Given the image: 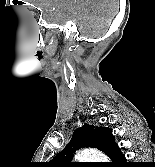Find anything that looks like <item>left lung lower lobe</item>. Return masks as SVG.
<instances>
[{"label": "left lung lower lobe", "mask_w": 155, "mask_h": 167, "mask_svg": "<svg viewBox=\"0 0 155 167\" xmlns=\"http://www.w3.org/2000/svg\"><path fill=\"white\" fill-rule=\"evenodd\" d=\"M109 158L112 160V162L109 163V167H122L123 164H126V159L124 155L120 152V149L118 146L112 151Z\"/></svg>", "instance_id": "left-lung-lower-lobe-1"}]
</instances>
